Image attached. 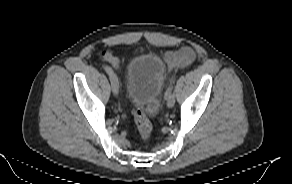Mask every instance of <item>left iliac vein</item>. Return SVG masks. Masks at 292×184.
I'll return each instance as SVG.
<instances>
[{"instance_id":"obj_1","label":"left iliac vein","mask_w":292,"mask_h":184,"mask_svg":"<svg viewBox=\"0 0 292 184\" xmlns=\"http://www.w3.org/2000/svg\"><path fill=\"white\" fill-rule=\"evenodd\" d=\"M167 107L172 108L175 105V96L172 91H170L169 95L166 98Z\"/></svg>"}]
</instances>
